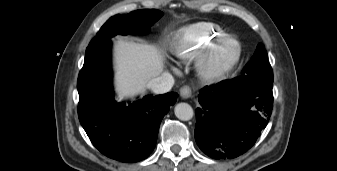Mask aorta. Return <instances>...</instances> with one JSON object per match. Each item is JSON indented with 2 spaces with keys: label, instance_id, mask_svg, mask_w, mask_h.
<instances>
[{
  "label": "aorta",
  "instance_id": "1",
  "mask_svg": "<svg viewBox=\"0 0 337 171\" xmlns=\"http://www.w3.org/2000/svg\"><path fill=\"white\" fill-rule=\"evenodd\" d=\"M174 113L175 116L182 121H188L192 119L194 115L192 107L187 103L177 104L175 106Z\"/></svg>",
  "mask_w": 337,
  "mask_h": 171
}]
</instances>
